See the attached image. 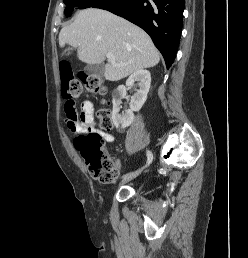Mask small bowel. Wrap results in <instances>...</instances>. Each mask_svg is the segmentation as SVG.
<instances>
[{
  "instance_id": "1",
  "label": "small bowel",
  "mask_w": 248,
  "mask_h": 258,
  "mask_svg": "<svg viewBox=\"0 0 248 258\" xmlns=\"http://www.w3.org/2000/svg\"><path fill=\"white\" fill-rule=\"evenodd\" d=\"M67 125L69 130L79 131V132H87L94 131L98 132L102 138L111 143L114 141V136L100 131L97 129L95 117H94V107L91 101L85 100L81 104L80 113L77 115L76 111L69 110L67 112ZM120 168V164H118Z\"/></svg>"
}]
</instances>
